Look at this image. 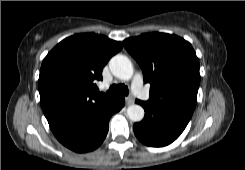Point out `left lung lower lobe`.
Masks as SVG:
<instances>
[{
    "label": "left lung lower lobe",
    "mask_w": 245,
    "mask_h": 170,
    "mask_svg": "<svg viewBox=\"0 0 245 170\" xmlns=\"http://www.w3.org/2000/svg\"><path fill=\"white\" fill-rule=\"evenodd\" d=\"M145 110L144 119L134 124L136 137L145 145L163 147L183 132L191 116L184 113L161 108L152 103L136 100Z\"/></svg>",
    "instance_id": "obj_1"
}]
</instances>
